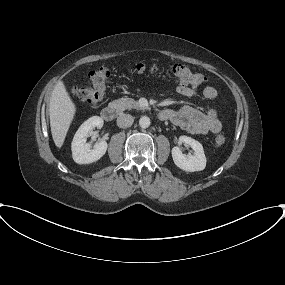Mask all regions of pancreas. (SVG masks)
<instances>
[{
  "mask_svg": "<svg viewBox=\"0 0 285 285\" xmlns=\"http://www.w3.org/2000/svg\"><path fill=\"white\" fill-rule=\"evenodd\" d=\"M112 104L120 111H124L126 109H143L139 103L132 98H120L113 101Z\"/></svg>",
  "mask_w": 285,
  "mask_h": 285,
  "instance_id": "cf45deb5",
  "label": "pancreas"
}]
</instances>
